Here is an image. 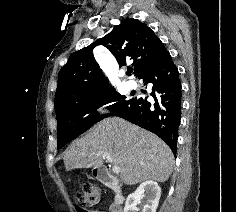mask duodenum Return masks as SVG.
<instances>
[{
    "label": "duodenum",
    "instance_id": "410a0bca",
    "mask_svg": "<svg viewBox=\"0 0 236 212\" xmlns=\"http://www.w3.org/2000/svg\"><path fill=\"white\" fill-rule=\"evenodd\" d=\"M95 175L99 182H101L106 187L112 189L115 192V203L116 206L120 205L123 202V195L120 186L114 175L110 172L107 167L101 166L98 167L95 171Z\"/></svg>",
    "mask_w": 236,
    "mask_h": 212
}]
</instances>
